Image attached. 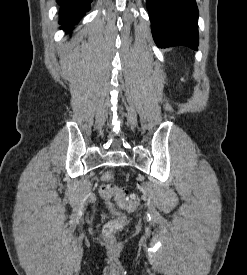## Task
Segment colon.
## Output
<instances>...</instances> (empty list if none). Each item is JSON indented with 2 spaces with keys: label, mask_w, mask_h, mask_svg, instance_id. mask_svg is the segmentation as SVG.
Returning a JSON list of instances; mask_svg holds the SVG:
<instances>
[{
  "label": "colon",
  "mask_w": 247,
  "mask_h": 275,
  "mask_svg": "<svg viewBox=\"0 0 247 275\" xmlns=\"http://www.w3.org/2000/svg\"><path fill=\"white\" fill-rule=\"evenodd\" d=\"M113 179L111 172H105L102 180L109 182ZM100 195L105 199L114 198L120 208L127 212L134 211L139 205V197L136 194H127L123 189L110 187L109 185H101L99 187ZM115 218L108 221L103 227V234L106 238H111L116 232L120 231L127 222V217L123 212L114 210Z\"/></svg>",
  "instance_id": "colon-1"
}]
</instances>
